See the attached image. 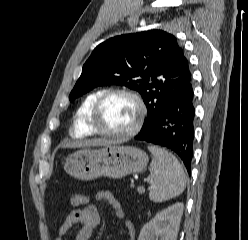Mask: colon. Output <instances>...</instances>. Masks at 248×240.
<instances>
[{
  "mask_svg": "<svg viewBox=\"0 0 248 240\" xmlns=\"http://www.w3.org/2000/svg\"><path fill=\"white\" fill-rule=\"evenodd\" d=\"M88 203V197L83 193L74 194L70 198V205L74 209L84 207Z\"/></svg>",
  "mask_w": 248,
  "mask_h": 240,
  "instance_id": "5ec220e1",
  "label": "colon"
}]
</instances>
